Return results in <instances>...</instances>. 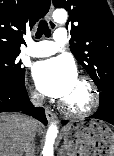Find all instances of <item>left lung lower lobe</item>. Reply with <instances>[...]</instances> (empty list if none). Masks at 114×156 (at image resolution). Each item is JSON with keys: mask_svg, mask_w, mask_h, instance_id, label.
Returning a JSON list of instances; mask_svg holds the SVG:
<instances>
[{"mask_svg": "<svg viewBox=\"0 0 114 156\" xmlns=\"http://www.w3.org/2000/svg\"><path fill=\"white\" fill-rule=\"evenodd\" d=\"M89 118L100 119L114 125V95L112 98L100 101L98 110ZM66 122L62 121V123Z\"/></svg>", "mask_w": 114, "mask_h": 156, "instance_id": "0a47b994", "label": "left lung lower lobe"}]
</instances>
